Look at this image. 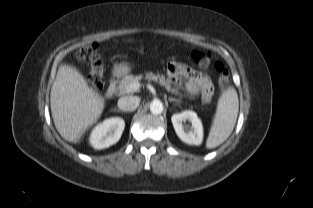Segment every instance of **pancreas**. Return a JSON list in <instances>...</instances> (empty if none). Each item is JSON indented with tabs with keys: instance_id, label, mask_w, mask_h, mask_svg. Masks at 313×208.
I'll list each match as a JSON object with an SVG mask.
<instances>
[{
	"instance_id": "cf45deb5",
	"label": "pancreas",
	"mask_w": 313,
	"mask_h": 208,
	"mask_svg": "<svg viewBox=\"0 0 313 208\" xmlns=\"http://www.w3.org/2000/svg\"><path fill=\"white\" fill-rule=\"evenodd\" d=\"M141 79H142V75H139V76L126 75L125 77H123L122 80L118 82L117 94L125 95V94H129L130 92H135V91L130 90V85L134 82H139ZM146 79L149 81L158 82L161 86H165V88L172 93H175V94L178 93L177 90L171 88L169 81H167L163 75L161 76L159 74L155 75L152 72H149V73H146Z\"/></svg>"
}]
</instances>
